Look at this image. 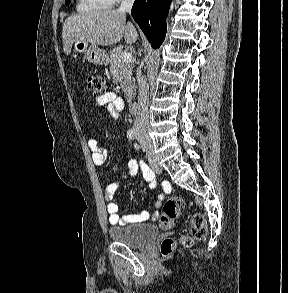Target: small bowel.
Returning a JSON list of instances; mask_svg holds the SVG:
<instances>
[{"label": "small bowel", "instance_id": "obj_1", "mask_svg": "<svg viewBox=\"0 0 288 293\" xmlns=\"http://www.w3.org/2000/svg\"><path fill=\"white\" fill-rule=\"evenodd\" d=\"M94 105L105 108L114 118H117L120 115L124 107L122 99L114 92H106L101 97L95 98ZM88 146L91 150L93 163L98 166L102 165L106 161L109 153L107 146L100 144L94 138L88 141ZM128 167L131 175H135L138 169H140L144 179L149 183V187L151 189L156 187L154 173L142 160L131 159L128 163ZM118 188V182H111L105 187L104 191V197L107 201L106 209L108 213V222L111 225H128L131 223L143 222L148 219L156 220L158 218L157 211L153 212L152 214H149L147 211H143L139 214H128L121 217L119 215V206L116 202L113 201ZM162 200L163 195H160L156 202V206H160Z\"/></svg>", "mask_w": 288, "mask_h": 293}]
</instances>
